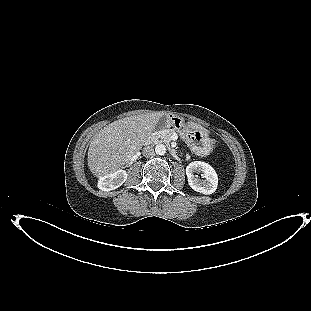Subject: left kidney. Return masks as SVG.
Here are the masks:
<instances>
[{"instance_id":"1","label":"left kidney","mask_w":311,"mask_h":311,"mask_svg":"<svg viewBox=\"0 0 311 311\" xmlns=\"http://www.w3.org/2000/svg\"><path fill=\"white\" fill-rule=\"evenodd\" d=\"M201 171L204 180L197 178L194 172ZM186 175L189 186L196 192L210 195L214 193L218 185V176L214 168L208 163L201 161L191 162L186 167Z\"/></svg>"}]
</instances>
